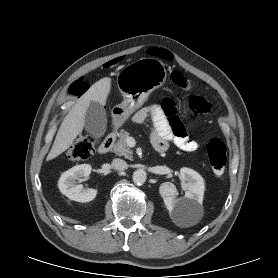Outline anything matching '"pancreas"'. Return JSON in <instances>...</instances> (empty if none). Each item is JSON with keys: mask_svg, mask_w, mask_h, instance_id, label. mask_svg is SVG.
<instances>
[{"mask_svg": "<svg viewBox=\"0 0 278 278\" xmlns=\"http://www.w3.org/2000/svg\"><path fill=\"white\" fill-rule=\"evenodd\" d=\"M129 132L121 130L119 133V140L114 146V152L118 156H124L125 158L131 159L133 156V151L129 148L126 143L127 138L129 137Z\"/></svg>", "mask_w": 278, "mask_h": 278, "instance_id": "pancreas-1", "label": "pancreas"}]
</instances>
